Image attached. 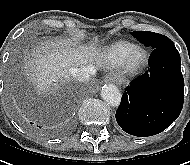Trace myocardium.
I'll return each mask as SVG.
<instances>
[{
  "label": "myocardium",
  "mask_w": 190,
  "mask_h": 165,
  "mask_svg": "<svg viewBox=\"0 0 190 165\" xmlns=\"http://www.w3.org/2000/svg\"><path fill=\"white\" fill-rule=\"evenodd\" d=\"M148 64V54L142 48H137L127 58L124 66L129 74H137L141 72Z\"/></svg>",
  "instance_id": "1"
}]
</instances>
